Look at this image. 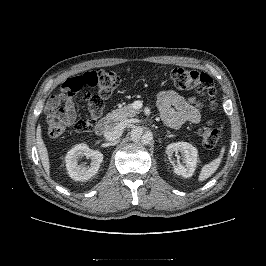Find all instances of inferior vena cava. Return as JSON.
I'll return each mask as SVG.
<instances>
[{"instance_id":"obj_1","label":"inferior vena cava","mask_w":266,"mask_h":266,"mask_svg":"<svg viewBox=\"0 0 266 266\" xmlns=\"http://www.w3.org/2000/svg\"><path fill=\"white\" fill-rule=\"evenodd\" d=\"M124 126L122 123L110 124L104 132V137L109 141H114L123 133Z\"/></svg>"}]
</instances>
